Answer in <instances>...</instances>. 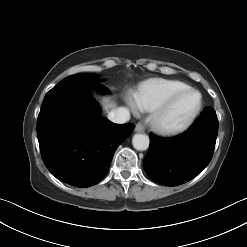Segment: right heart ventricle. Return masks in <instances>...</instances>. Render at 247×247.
I'll return each mask as SVG.
<instances>
[{
	"label": "right heart ventricle",
	"mask_w": 247,
	"mask_h": 247,
	"mask_svg": "<svg viewBox=\"0 0 247 247\" xmlns=\"http://www.w3.org/2000/svg\"><path fill=\"white\" fill-rule=\"evenodd\" d=\"M189 88L184 82L166 79H151L144 82L134 93L138 108L153 111L174 93Z\"/></svg>",
	"instance_id": "right-heart-ventricle-1"
}]
</instances>
